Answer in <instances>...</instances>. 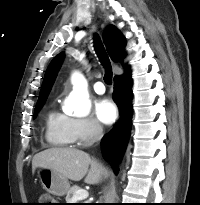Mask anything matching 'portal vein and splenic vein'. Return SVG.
Instances as JSON below:
<instances>
[{
    "label": "portal vein and splenic vein",
    "mask_w": 200,
    "mask_h": 205,
    "mask_svg": "<svg viewBox=\"0 0 200 205\" xmlns=\"http://www.w3.org/2000/svg\"><path fill=\"white\" fill-rule=\"evenodd\" d=\"M89 196V193L86 190H78L73 196V201L84 200Z\"/></svg>",
    "instance_id": "portal-vein-and-splenic-vein-1"
}]
</instances>
